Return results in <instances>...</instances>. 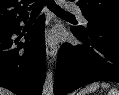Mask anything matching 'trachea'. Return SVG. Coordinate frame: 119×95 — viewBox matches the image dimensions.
Segmentation results:
<instances>
[{
	"label": "trachea",
	"instance_id": "trachea-1",
	"mask_svg": "<svg viewBox=\"0 0 119 95\" xmlns=\"http://www.w3.org/2000/svg\"><path fill=\"white\" fill-rule=\"evenodd\" d=\"M46 5L53 13L60 16H70L73 17L74 15L68 13L67 11L63 10L60 6H58L54 0H37L33 5L30 6L31 16H36L42 10V7Z\"/></svg>",
	"mask_w": 119,
	"mask_h": 95
}]
</instances>
